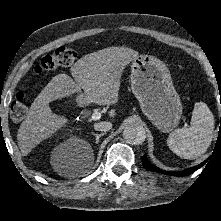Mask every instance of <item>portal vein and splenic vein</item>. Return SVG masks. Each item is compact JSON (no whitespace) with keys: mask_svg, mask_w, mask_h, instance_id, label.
<instances>
[{"mask_svg":"<svg viewBox=\"0 0 221 221\" xmlns=\"http://www.w3.org/2000/svg\"><path fill=\"white\" fill-rule=\"evenodd\" d=\"M101 118V113L100 112H94L91 116V119L96 121L99 120Z\"/></svg>","mask_w":221,"mask_h":221,"instance_id":"obj_1","label":"portal vein and splenic vein"}]
</instances>
